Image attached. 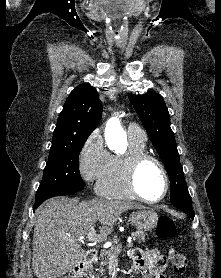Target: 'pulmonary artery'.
<instances>
[{
  "mask_svg": "<svg viewBox=\"0 0 221 278\" xmlns=\"http://www.w3.org/2000/svg\"><path fill=\"white\" fill-rule=\"evenodd\" d=\"M127 131L130 137H134L142 140L146 139V135L144 131L135 124H129Z\"/></svg>",
  "mask_w": 221,
  "mask_h": 278,
  "instance_id": "obj_1",
  "label": "pulmonary artery"
}]
</instances>
